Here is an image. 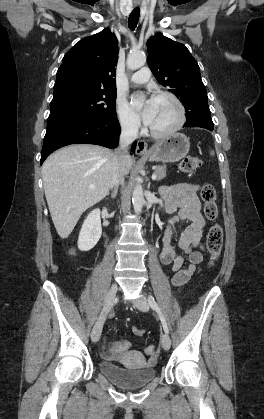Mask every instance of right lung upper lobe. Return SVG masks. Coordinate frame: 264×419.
Masks as SVG:
<instances>
[{"mask_svg":"<svg viewBox=\"0 0 264 419\" xmlns=\"http://www.w3.org/2000/svg\"><path fill=\"white\" fill-rule=\"evenodd\" d=\"M118 41L108 29L81 39L68 51L57 71L54 89L77 84L116 91Z\"/></svg>","mask_w":264,"mask_h":419,"instance_id":"obj_1","label":"right lung upper lobe"}]
</instances>
